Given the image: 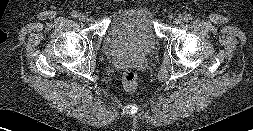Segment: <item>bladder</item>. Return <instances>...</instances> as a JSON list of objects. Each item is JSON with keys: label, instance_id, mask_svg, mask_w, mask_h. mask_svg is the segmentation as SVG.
Here are the masks:
<instances>
[{"label": "bladder", "instance_id": "bladder-1", "mask_svg": "<svg viewBox=\"0 0 253 131\" xmlns=\"http://www.w3.org/2000/svg\"><path fill=\"white\" fill-rule=\"evenodd\" d=\"M156 21L157 15L151 6L137 3L118 6L109 17L103 35V49L112 51L124 38L132 36L141 52L152 51L157 47L160 39Z\"/></svg>", "mask_w": 253, "mask_h": 131}]
</instances>
